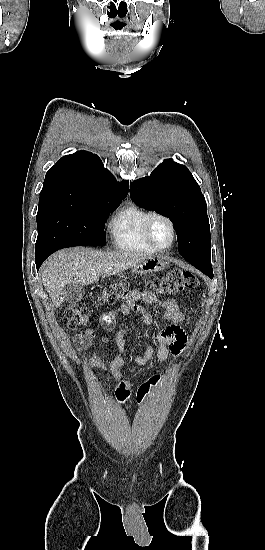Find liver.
<instances>
[{"label":"liver","instance_id":"6515ba94","mask_svg":"<svg viewBox=\"0 0 265 550\" xmlns=\"http://www.w3.org/2000/svg\"><path fill=\"white\" fill-rule=\"evenodd\" d=\"M147 258L142 254L70 248L56 252L45 262L41 279L52 303L58 308L64 301L66 284L91 285L99 280V276L110 277Z\"/></svg>","mask_w":265,"mask_h":550}]
</instances>
